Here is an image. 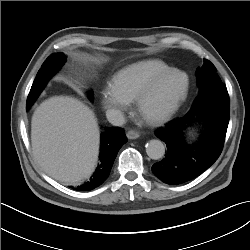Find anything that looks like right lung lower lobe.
Instances as JSON below:
<instances>
[{
    "mask_svg": "<svg viewBox=\"0 0 250 250\" xmlns=\"http://www.w3.org/2000/svg\"><path fill=\"white\" fill-rule=\"evenodd\" d=\"M124 130L109 127L101 134L99 164L92 177L84 184L74 188L77 191H89L103 183L108 177L119 149L126 143Z\"/></svg>",
    "mask_w": 250,
    "mask_h": 250,
    "instance_id": "obj_1",
    "label": "right lung lower lobe"
}]
</instances>
